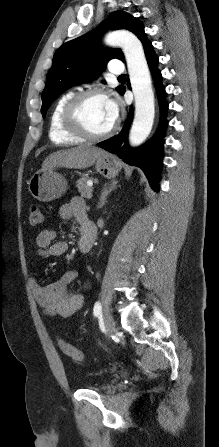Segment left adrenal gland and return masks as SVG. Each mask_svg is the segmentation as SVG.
Masks as SVG:
<instances>
[{
	"label": "left adrenal gland",
	"mask_w": 219,
	"mask_h": 447,
	"mask_svg": "<svg viewBox=\"0 0 219 447\" xmlns=\"http://www.w3.org/2000/svg\"><path fill=\"white\" fill-rule=\"evenodd\" d=\"M117 184L118 181L113 180L110 184L104 185L97 208H102L104 206L107 196L110 194L111 191L117 188Z\"/></svg>",
	"instance_id": "left-adrenal-gland-1"
}]
</instances>
